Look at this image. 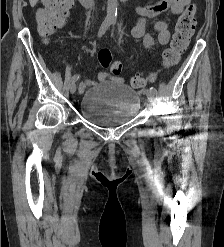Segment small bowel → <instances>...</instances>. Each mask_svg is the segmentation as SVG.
<instances>
[{
  "instance_id": "1",
  "label": "small bowel",
  "mask_w": 224,
  "mask_h": 247,
  "mask_svg": "<svg viewBox=\"0 0 224 247\" xmlns=\"http://www.w3.org/2000/svg\"><path fill=\"white\" fill-rule=\"evenodd\" d=\"M189 1L190 0H158L151 4L138 6L136 11L140 17L131 31L133 39L141 41L145 47H151L154 44V39L151 35L146 33L147 20L166 11H170L173 15H179ZM155 30L158 33V42L163 45L167 44L170 39L168 24L163 20H158L155 23ZM103 76H105V74H103ZM118 81L123 83L124 79L118 78Z\"/></svg>"
}]
</instances>
